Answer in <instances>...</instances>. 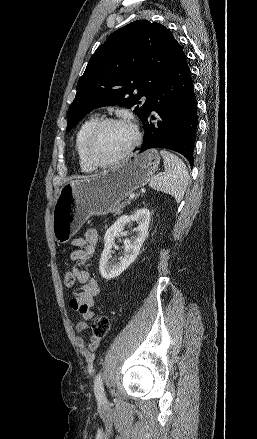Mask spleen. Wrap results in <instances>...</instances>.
I'll use <instances>...</instances> for the list:
<instances>
[{
	"mask_svg": "<svg viewBox=\"0 0 257 439\" xmlns=\"http://www.w3.org/2000/svg\"><path fill=\"white\" fill-rule=\"evenodd\" d=\"M164 159L165 172L150 179L149 186L157 191L172 195L176 202L183 199L187 184L188 171L183 161L167 150L160 151Z\"/></svg>",
	"mask_w": 257,
	"mask_h": 439,
	"instance_id": "obj_1",
	"label": "spleen"
}]
</instances>
